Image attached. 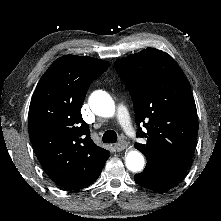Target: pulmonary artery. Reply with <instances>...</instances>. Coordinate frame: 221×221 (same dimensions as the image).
I'll list each match as a JSON object with an SVG mask.
<instances>
[{"mask_svg":"<svg viewBox=\"0 0 221 221\" xmlns=\"http://www.w3.org/2000/svg\"><path fill=\"white\" fill-rule=\"evenodd\" d=\"M116 117H117V120H118L119 124L121 125V127L127 133H131L132 126H131L130 117H129L128 111L124 105H122V104L118 105L117 111H116Z\"/></svg>","mask_w":221,"mask_h":221,"instance_id":"e3ab8cb5","label":"pulmonary artery"}]
</instances>
